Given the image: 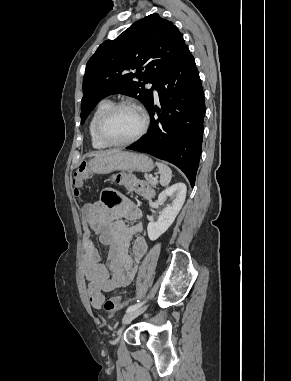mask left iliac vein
Instances as JSON below:
<instances>
[{
  "mask_svg": "<svg viewBox=\"0 0 291 381\" xmlns=\"http://www.w3.org/2000/svg\"><path fill=\"white\" fill-rule=\"evenodd\" d=\"M146 308H147V306H140L139 308H137L131 312H127L122 319V324L125 325V324L129 323L134 318H136L137 316L142 314L146 310Z\"/></svg>",
  "mask_w": 291,
  "mask_h": 381,
  "instance_id": "obj_1",
  "label": "left iliac vein"
}]
</instances>
